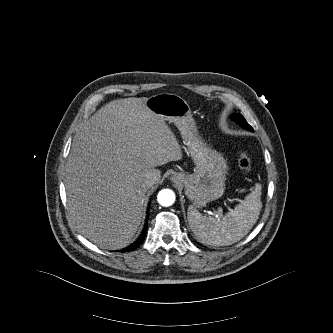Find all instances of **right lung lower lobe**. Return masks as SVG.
I'll use <instances>...</instances> for the list:
<instances>
[{
  "mask_svg": "<svg viewBox=\"0 0 333 333\" xmlns=\"http://www.w3.org/2000/svg\"><path fill=\"white\" fill-rule=\"evenodd\" d=\"M146 231H147V222L145 224L144 230H143L141 236L139 237V239L137 241H135L134 243H132L130 246L121 250V252L131 251V250L135 249L136 247H138L140 245V243L142 242V240L144 239Z\"/></svg>",
  "mask_w": 333,
  "mask_h": 333,
  "instance_id": "obj_1",
  "label": "right lung lower lobe"
}]
</instances>
